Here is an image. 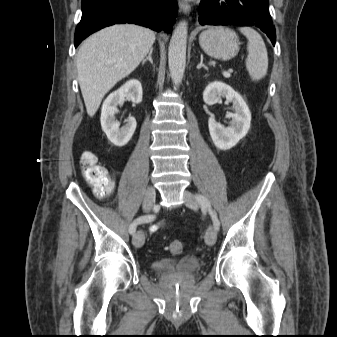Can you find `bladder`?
Returning <instances> with one entry per match:
<instances>
[{
  "instance_id": "1",
  "label": "bladder",
  "mask_w": 337,
  "mask_h": 337,
  "mask_svg": "<svg viewBox=\"0 0 337 337\" xmlns=\"http://www.w3.org/2000/svg\"><path fill=\"white\" fill-rule=\"evenodd\" d=\"M177 266V261L172 259H159L152 263V268L156 273L167 274Z\"/></svg>"
}]
</instances>
